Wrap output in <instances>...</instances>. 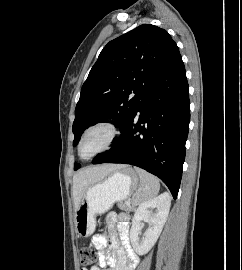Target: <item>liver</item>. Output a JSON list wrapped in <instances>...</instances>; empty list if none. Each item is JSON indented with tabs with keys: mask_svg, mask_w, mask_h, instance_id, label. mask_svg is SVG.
Masks as SVG:
<instances>
[{
	"mask_svg": "<svg viewBox=\"0 0 242 270\" xmlns=\"http://www.w3.org/2000/svg\"><path fill=\"white\" fill-rule=\"evenodd\" d=\"M123 165L107 164L83 169L73 177V198L75 211L78 209L85 191L93 184L102 181Z\"/></svg>",
	"mask_w": 242,
	"mask_h": 270,
	"instance_id": "6515ba94",
	"label": "liver"
}]
</instances>
